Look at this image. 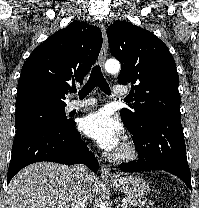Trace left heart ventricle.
Returning <instances> with one entry per match:
<instances>
[{
	"label": "left heart ventricle",
	"mask_w": 199,
	"mask_h": 208,
	"mask_svg": "<svg viewBox=\"0 0 199 208\" xmlns=\"http://www.w3.org/2000/svg\"><path fill=\"white\" fill-rule=\"evenodd\" d=\"M120 150H121V147H117L114 152H119Z\"/></svg>",
	"instance_id": "obj_1"
}]
</instances>
